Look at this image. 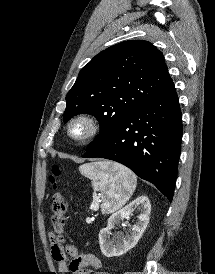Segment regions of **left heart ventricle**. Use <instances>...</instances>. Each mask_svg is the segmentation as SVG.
Returning <instances> with one entry per match:
<instances>
[{
    "instance_id": "1",
    "label": "left heart ventricle",
    "mask_w": 215,
    "mask_h": 274,
    "mask_svg": "<svg viewBox=\"0 0 215 274\" xmlns=\"http://www.w3.org/2000/svg\"><path fill=\"white\" fill-rule=\"evenodd\" d=\"M82 132H83V127L82 126H77V127L74 128V134L80 135V134H82Z\"/></svg>"
}]
</instances>
